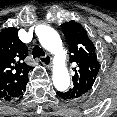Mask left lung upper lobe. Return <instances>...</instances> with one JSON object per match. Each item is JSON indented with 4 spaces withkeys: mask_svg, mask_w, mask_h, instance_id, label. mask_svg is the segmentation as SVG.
Segmentation results:
<instances>
[{
    "mask_svg": "<svg viewBox=\"0 0 117 117\" xmlns=\"http://www.w3.org/2000/svg\"><path fill=\"white\" fill-rule=\"evenodd\" d=\"M61 28L69 44L70 61L77 63V68L73 69V87L66 93L68 99L82 98L92 88L100 69L95 46L87 31L75 21L64 23Z\"/></svg>",
    "mask_w": 117,
    "mask_h": 117,
    "instance_id": "left-lung-upper-lobe-1",
    "label": "left lung upper lobe"
}]
</instances>
